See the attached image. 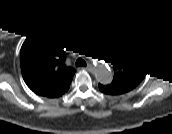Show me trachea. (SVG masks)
<instances>
[{"label":"trachea","instance_id":"3493384b","mask_svg":"<svg viewBox=\"0 0 172 134\" xmlns=\"http://www.w3.org/2000/svg\"><path fill=\"white\" fill-rule=\"evenodd\" d=\"M83 64H84V60H82V59H78L76 61V66H80V65H83Z\"/></svg>","mask_w":172,"mask_h":134}]
</instances>
